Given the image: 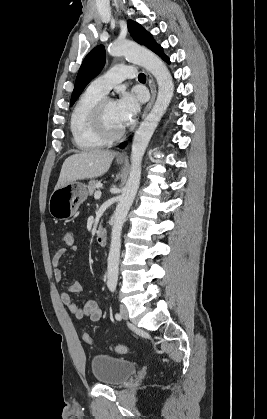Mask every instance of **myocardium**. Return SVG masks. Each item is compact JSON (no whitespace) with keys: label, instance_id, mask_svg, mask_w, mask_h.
I'll return each mask as SVG.
<instances>
[{"label":"myocardium","instance_id":"1","mask_svg":"<svg viewBox=\"0 0 267 419\" xmlns=\"http://www.w3.org/2000/svg\"><path fill=\"white\" fill-rule=\"evenodd\" d=\"M110 101L113 100L108 97L102 98L94 107L91 117L92 125L96 134L105 142H112L120 139L126 131L125 127L116 132L108 129L105 121V108L107 103Z\"/></svg>","mask_w":267,"mask_h":419}]
</instances>
